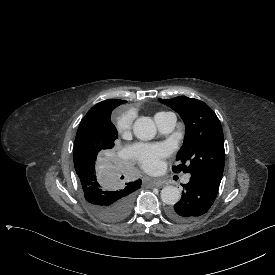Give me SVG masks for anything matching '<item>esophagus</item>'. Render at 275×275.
<instances>
[{
	"mask_svg": "<svg viewBox=\"0 0 275 275\" xmlns=\"http://www.w3.org/2000/svg\"><path fill=\"white\" fill-rule=\"evenodd\" d=\"M153 184H154L155 186H157V187H160V186H162V185L164 184V181H163L162 179H160V178H155V179L153 180Z\"/></svg>",
	"mask_w": 275,
	"mask_h": 275,
	"instance_id": "esophagus-1",
	"label": "esophagus"
}]
</instances>
